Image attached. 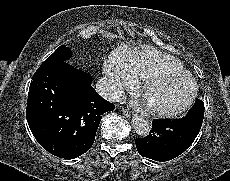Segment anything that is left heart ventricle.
I'll return each mask as SVG.
<instances>
[{
  "instance_id": "left-heart-ventricle-1",
  "label": "left heart ventricle",
  "mask_w": 230,
  "mask_h": 181,
  "mask_svg": "<svg viewBox=\"0 0 230 181\" xmlns=\"http://www.w3.org/2000/svg\"><path fill=\"white\" fill-rule=\"evenodd\" d=\"M191 89L189 81L168 77L151 85L146 98L151 106L174 108L187 99Z\"/></svg>"
}]
</instances>
